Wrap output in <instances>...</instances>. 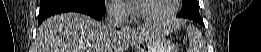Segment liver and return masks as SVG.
Returning <instances> with one entry per match:
<instances>
[{
    "label": "liver",
    "instance_id": "1",
    "mask_svg": "<svg viewBox=\"0 0 261 52\" xmlns=\"http://www.w3.org/2000/svg\"><path fill=\"white\" fill-rule=\"evenodd\" d=\"M170 32V28L145 26L141 30ZM118 39L105 35L104 24L78 13L46 19L37 30L34 52H123Z\"/></svg>",
    "mask_w": 261,
    "mask_h": 52
}]
</instances>
